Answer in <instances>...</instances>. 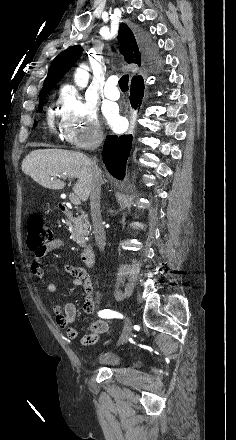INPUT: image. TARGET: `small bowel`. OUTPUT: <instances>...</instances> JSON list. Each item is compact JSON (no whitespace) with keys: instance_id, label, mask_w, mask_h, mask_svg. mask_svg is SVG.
Instances as JSON below:
<instances>
[{"instance_id":"1","label":"small bowel","mask_w":236,"mask_h":440,"mask_svg":"<svg viewBox=\"0 0 236 440\" xmlns=\"http://www.w3.org/2000/svg\"><path fill=\"white\" fill-rule=\"evenodd\" d=\"M63 246V241L55 238L45 244L43 247L34 250V261L31 263L30 269L33 275L39 279L46 276V270L42 264V259L50 252L56 251ZM65 271L73 276L72 283L75 286H82L85 291V299L83 303V310L85 314L91 315L94 311L95 301L93 296V285L87 272L77 266L67 265ZM47 290L50 293H56L58 287L55 282L49 281L47 283ZM51 310L54 314L55 323L58 327L65 329L67 337L74 340L78 337L77 330L73 327L75 321L77 308L73 302H67L63 306L58 303H52ZM108 330L107 322L103 320L95 321L91 326V333L83 338V343L86 345L94 344L101 333H106Z\"/></svg>"}]
</instances>
